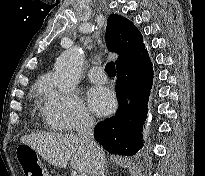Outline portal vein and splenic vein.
<instances>
[{
  "label": "portal vein and splenic vein",
  "mask_w": 205,
  "mask_h": 176,
  "mask_svg": "<svg viewBox=\"0 0 205 176\" xmlns=\"http://www.w3.org/2000/svg\"><path fill=\"white\" fill-rule=\"evenodd\" d=\"M80 176H87L86 174H81Z\"/></svg>",
  "instance_id": "obj_1"
}]
</instances>
